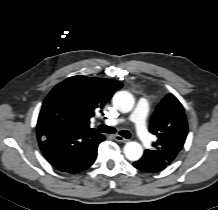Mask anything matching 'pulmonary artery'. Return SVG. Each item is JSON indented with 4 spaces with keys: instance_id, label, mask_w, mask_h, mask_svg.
<instances>
[{
    "instance_id": "obj_1",
    "label": "pulmonary artery",
    "mask_w": 218,
    "mask_h": 210,
    "mask_svg": "<svg viewBox=\"0 0 218 210\" xmlns=\"http://www.w3.org/2000/svg\"><path fill=\"white\" fill-rule=\"evenodd\" d=\"M149 110V101L146 98L139 100L136 110L127 119L135 123L136 132L144 146L149 147L151 145V137L146 128V116ZM125 118L110 119L107 124L114 126L123 123Z\"/></svg>"
}]
</instances>
